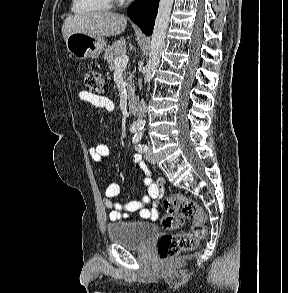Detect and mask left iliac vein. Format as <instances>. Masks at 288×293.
<instances>
[{
  "label": "left iliac vein",
  "instance_id": "4c4485c4",
  "mask_svg": "<svg viewBox=\"0 0 288 293\" xmlns=\"http://www.w3.org/2000/svg\"><path fill=\"white\" fill-rule=\"evenodd\" d=\"M145 158L148 162H150L152 164H155V162H156L150 146H148V148H147V151L145 153Z\"/></svg>",
  "mask_w": 288,
  "mask_h": 293
}]
</instances>
